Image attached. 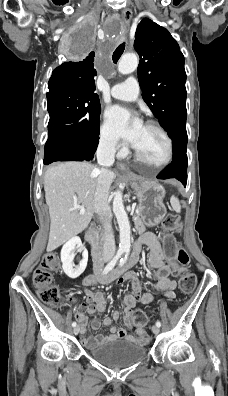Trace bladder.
Wrapping results in <instances>:
<instances>
[{"label": "bladder", "mask_w": 228, "mask_h": 396, "mask_svg": "<svg viewBox=\"0 0 228 396\" xmlns=\"http://www.w3.org/2000/svg\"><path fill=\"white\" fill-rule=\"evenodd\" d=\"M95 361L111 368H124L137 364L147 356L144 344L129 340H111L87 350Z\"/></svg>", "instance_id": "31cf9c89"}]
</instances>
